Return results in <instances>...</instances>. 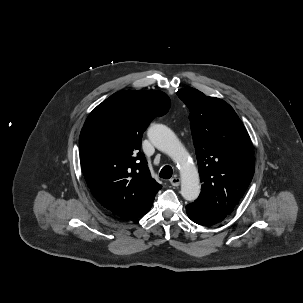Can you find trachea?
<instances>
[{
  "instance_id": "1",
  "label": "trachea",
  "mask_w": 303,
  "mask_h": 303,
  "mask_svg": "<svg viewBox=\"0 0 303 303\" xmlns=\"http://www.w3.org/2000/svg\"><path fill=\"white\" fill-rule=\"evenodd\" d=\"M172 174H173L172 168L166 165L161 169L159 176L163 179H170L172 177Z\"/></svg>"
}]
</instances>
